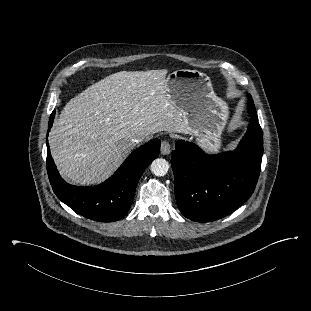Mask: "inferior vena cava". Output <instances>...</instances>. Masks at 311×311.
I'll list each match as a JSON object with an SVG mask.
<instances>
[{"mask_svg": "<svg viewBox=\"0 0 311 311\" xmlns=\"http://www.w3.org/2000/svg\"><path fill=\"white\" fill-rule=\"evenodd\" d=\"M144 139H145L144 136L137 135V136H134V137L132 138V142H134V143H140V142H142Z\"/></svg>", "mask_w": 311, "mask_h": 311, "instance_id": "inferior-vena-cava-1", "label": "inferior vena cava"}]
</instances>
